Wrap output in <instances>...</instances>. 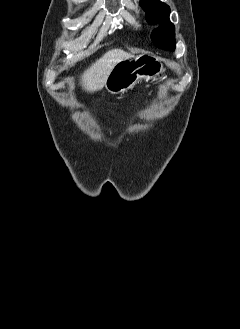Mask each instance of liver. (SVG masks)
I'll list each match as a JSON object with an SVG mask.
<instances>
[{"mask_svg": "<svg viewBox=\"0 0 240 329\" xmlns=\"http://www.w3.org/2000/svg\"><path fill=\"white\" fill-rule=\"evenodd\" d=\"M132 57L131 53L122 49H112L106 52L81 75L82 87L90 93L99 91L105 85V81L115 65Z\"/></svg>", "mask_w": 240, "mask_h": 329, "instance_id": "obj_1", "label": "liver"}]
</instances>
